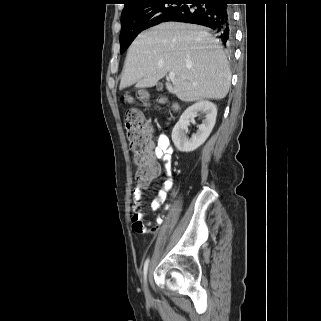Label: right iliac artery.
<instances>
[{"instance_id":"82829eb1","label":"right iliac artery","mask_w":321,"mask_h":321,"mask_svg":"<svg viewBox=\"0 0 321 321\" xmlns=\"http://www.w3.org/2000/svg\"><path fill=\"white\" fill-rule=\"evenodd\" d=\"M148 266H149V258L146 259V261L144 263V268H143V274H144V281L145 282H146V279H147Z\"/></svg>"}]
</instances>
